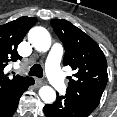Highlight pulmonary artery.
<instances>
[{"label": "pulmonary artery", "mask_w": 117, "mask_h": 117, "mask_svg": "<svg viewBox=\"0 0 117 117\" xmlns=\"http://www.w3.org/2000/svg\"><path fill=\"white\" fill-rule=\"evenodd\" d=\"M63 54V49L60 44H54L49 52L46 61V72L48 78L56 90L63 92L66 89L63 76L60 71V60Z\"/></svg>", "instance_id": "pulmonary-artery-1"}]
</instances>
